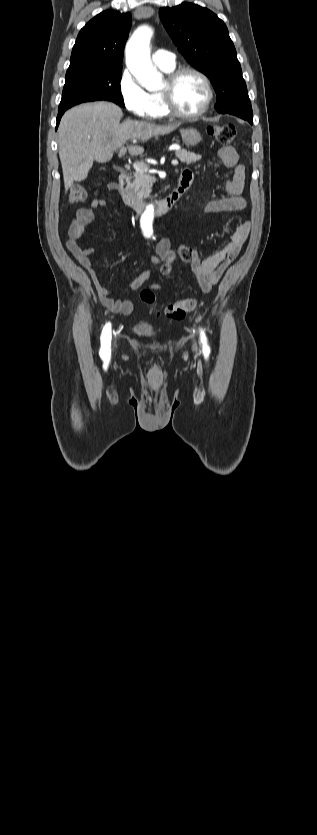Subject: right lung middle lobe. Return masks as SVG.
Here are the masks:
<instances>
[{"label":"right lung middle lobe","instance_id":"right-lung-middle-lobe-1","mask_svg":"<svg viewBox=\"0 0 317 835\" xmlns=\"http://www.w3.org/2000/svg\"><path fill=\"white\" fill-rule=\"evenodd\" d=\"M121 71V67L111 66L69 67L58 111L97 100H108L124 106L120 89Z\"/></svg>","mask_w":317,"mask_h":835}]
</instances>
